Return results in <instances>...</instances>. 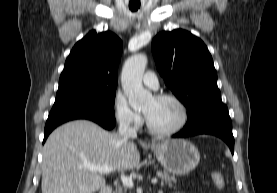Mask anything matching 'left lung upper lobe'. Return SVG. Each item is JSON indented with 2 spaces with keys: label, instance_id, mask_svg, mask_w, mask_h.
Returning <instances> with one entry per match:
<instances>
[{
  "label": "left lung upper lobe",
  "instance_id": "obj_1",
  "mask_svg": "<svg viewBox=\"0 0 277 193\" xmlns=\"http://www.w3.org/2000/svg\"><path fill=\"white\" fill-rule=\"evenodd\" d=\"M151 49L166 85L187 107V120L223 104L212 57L198 37L182 29L164 31L154 38Z\"/></svg>",
  "mask_w": 277,
  "mask_h": 193
}]
</instances>
